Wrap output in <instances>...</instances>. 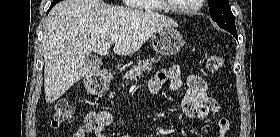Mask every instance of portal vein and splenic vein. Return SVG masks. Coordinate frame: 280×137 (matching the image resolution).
<instances>
[{
    "label": "portal vein and splenic vein",
    "mask_w": 280,
    "mask_h": 137,
    "mask_svg": "<svg viewBox=\"0 0 280 137\" xmlns=\"http://www.w3.org/2000/svg\"><path fill=\"white\" fill-rule=\"evenodd\" d=\"M118 38H119L118 35H113V36L111 37V41H112V42H115V41L118 40Z\"/></svg>",
    "instance_id": "portal-vein-and-splenic-vein-1"
}]
</instances>
